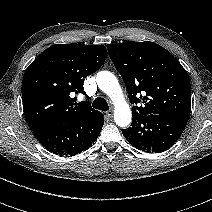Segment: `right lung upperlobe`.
Segmentation results:
<instances>
[{"mask_svg":"<svg viewBox=\"0 0 212 212\" xmlns=\"http://www.w3.org/2000/svg\"><path fill=\"white\" fill-rule=\"evenodd\" d=\"M103 45L55 44L44 50L26 69L22 81L23 110L34 130L49 123L94 118L101 113L87 101L75 102L85 94L84 78L104 63Z\"/></svg>","mask_w":212,"mask_h":212,"instance_id":"cb5924a9","label":"right lung upper lobe"}]
</instances>
